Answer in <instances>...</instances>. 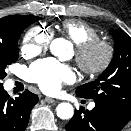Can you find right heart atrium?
<instances>
[{
  "label": "right heart atrium",
  "instance_id": "1",
  "mask_svg": "<svg viewBox=\"0 0 131 131\" xmlns=\"http://www.w3.org/2000/svg\"><path fill=\"white\" fill-rule=\"evenodd\" d=\"M51 40L50 32L41 26L26 31L21 42V52L27 57L35 56L47 49Z\"/></svg>",
  "mask_w": 131,
  "mask_h": 131
}]
</instances>
